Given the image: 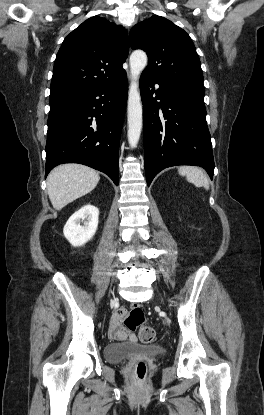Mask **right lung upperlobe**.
I'll use <instances>...</instances> for the list:
<instances>
[{
    "mask_svg": "<svg viewBox=\"0 0 264 415\" xmlns=\"http://www.w3.org/2000/svg\"><path fill=\"white\" fill-rule=\"evenodd\" d=\"M128 35L121 25L93 16L63 41L53 67L49 99L112 82L125 70Z\"/></svg>",
    "mask_w": 264,
    "mask_h": 415,
    "instance_id": "1",
    "label": "right lung upper lobe"
}]
</instances>
